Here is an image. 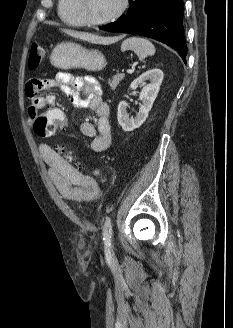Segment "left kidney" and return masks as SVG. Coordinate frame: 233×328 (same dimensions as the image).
Masks as SVG:
<instances>
[{
	"label": "left kidney",
	"mask_w": 233,
	"mask_h": 328,
	"mask_svg": "<svg viewBox=\"0 0 233 328\" xmlns=\"http://www.w3.org/2000/svg\"><path fill=\"white\" fill-rule=\"evenodd\" d=\"M163 77V71L155 68L146 71L131 83L130 89L132 90H135L138 86H144L139 96V99L142 101V105L140 106L136 117L129 118L127 114V102L121 101L119 103L117 119L119 125L124 131H133L134 129L139 128L145 122L146 118L148 117V113L151 110L152 105L157 97ZM146 80H151V83L146 84Z\"/></svg>",
	"instance_id": "5707ae66"
}]
</instances>
